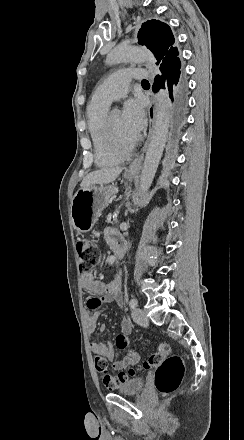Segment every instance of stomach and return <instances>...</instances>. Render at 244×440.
<instances>
[{
  "mask_svg": "<svg viewBox=\"0 0 244 440\" xmlns=\"http://www.w3.org/2000/svg\"><path fill=\"white\" fill-rule=\"evenodd\" d=\"M135 174H125L126 180L132 182ZM119 190L115 184L112 186H90V188H80L73 196L70 208V218L73 228L78 234L90 232L96 224L100 212L108 206L111 196L118 194Z\"/></svg>",
  "mask_w": 244,
  "mask_h": 440,
  "instance_id": "obj_1",
  "label": "stomach"
}]
</instances>
